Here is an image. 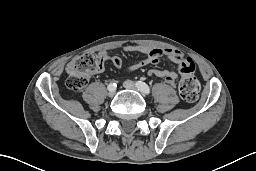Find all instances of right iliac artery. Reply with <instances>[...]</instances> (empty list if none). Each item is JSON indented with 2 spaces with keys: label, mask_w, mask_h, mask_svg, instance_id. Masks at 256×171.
<instances>
[{
  "label": "right iliac artery",
  "mask_w": 256,
  "mask_h": 171,
  "mask_svg": "<svg viewBox=\"0 0 256 171\" xmlns=\"http://www.w3.org/2000/svg\"><path fill=\"white\" fill-rule=\"evenodd\" d=\"M116 84L115 83H110L109 85H108V90H110V89H115L116 88Z\"/></svg>",
  "instance_id": "82829eb1"
}]
</instances>
